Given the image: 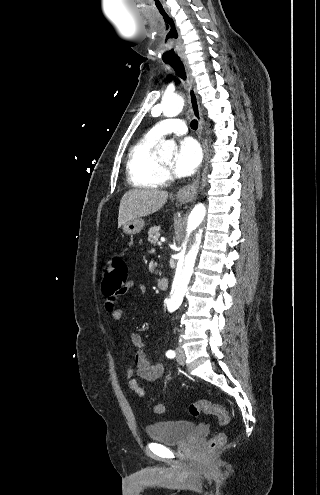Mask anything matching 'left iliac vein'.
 <instances>
[{
    "mask_svg": "<svg viewBox=\"0 0 320 495\" xmlns=\"http://www.w3.org/2000/svg\"><path fill=\"white\" fill-rule=\"evenodd\" d=\"M185 358L186 357H185L184 351L181 348L177 347L176 348V360H177L178 364H180L182 366L185 365Z\"/></svg>",
    "mask_w": 320,
    "mask_h": 495,
    "instance_id": "left-iliac-vein-1",
    "label": "left iliac vein"
}]
</instances>
